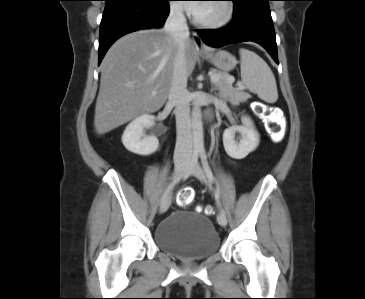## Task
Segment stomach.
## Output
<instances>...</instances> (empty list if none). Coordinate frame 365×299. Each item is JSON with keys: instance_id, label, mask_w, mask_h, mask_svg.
<instances>
[{"instance_id": "1", "label": "stomach", "mask_w": 365, "mask_h": 299, "mask_svg": "<svg viewBox=\"0 0 365 299\" xmlns=\"http://www.w3.org/2000/svg\"><path fill=\"white\" fill-rule=\"evenodd\" d=\"M205 58L224 73L234 69L237 64L236 58L231 53L224 50L205 54Z\"/></svg>"}]
</instances>
